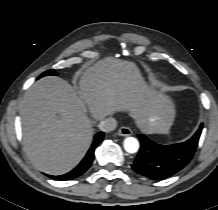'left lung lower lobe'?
<instances>
[{"mask_svg": "<svg viewBox=\"0 0 218 210\" xmlns=\"http://www.w3.org/2000/svg\"><path fill=\"white\" fill-rule=\"evenodd\" d=\"M203 126L192 138L184 143L173 145H159L149 140L145 135L140 134L141 147L139 153L131 165L132 169L151 179H165L177 173L185 167L198 145L199 137Z\"/></svg>", "mask_w": 218, "mask_h": 210, "instance_id": "left-lung-lower-lobe-1", "label": "left lung lower lobe"}]
</instances>
